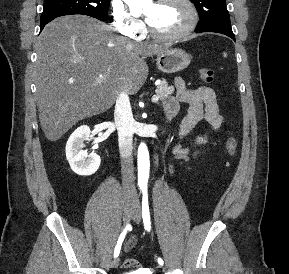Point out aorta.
Wrapping results in <instances>:
<instances>
[{
  "label": "aorta",
  "instance_id": "762f6f07",
  "mask_svg": "<svg viewBox=\"0 0 289 274\" xmlns=\"http://www.w3.org/2000/svg\"><path fill=\"white\" fill-rule=\"evenodd\" d=\"M130 7L139 6L143 0H125ZM149 152L147 146L141 143L138 147V182L140 185H146L149 178Z\"/></svg>",
  "mask_w": 289,
  "mask_h": 274
}]
</instances>
